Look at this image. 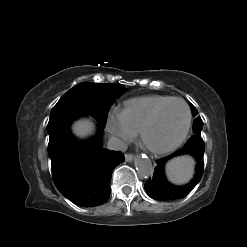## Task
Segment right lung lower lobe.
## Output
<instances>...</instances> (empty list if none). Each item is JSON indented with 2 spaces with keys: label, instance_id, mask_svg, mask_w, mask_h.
<instances>
[{
  "label": "right lung lower lobe",
  "instance_id": "1",
  "mask_svg": "<svg viewBox=\"0 0 247 247\" xmlns=\"http://www.w3.org/2000/svg\"><path fill=\"white\" fill-rule=\"evenodd\" d=\"M80 115L70 112L50 117L48 155L57 189L78 206L94 207L108 200L112 172L125 157L119 151L102 148L100 137L75 139L69 125Z\"/></svg>",
  "mask_w": 247,
  "mask_h": 247
}]
</instances>
